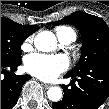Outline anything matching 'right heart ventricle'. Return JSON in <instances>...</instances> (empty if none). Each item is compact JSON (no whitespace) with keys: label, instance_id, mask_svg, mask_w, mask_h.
<instances>
[{"label":"right heart ventricle","instance_id":"e07e8e85","mask_svg":"<svg viewBox=\"0 0 109 109\" xmlns=\"http://www.w3.org/2000/svg\"><path fill=\"white\" fill-rule=\"evenodd\" d=\"M55 33L59 40L66 37H73L74 39H76L75 31L68 26L62 25V26L56 27Z\"/></svg>","mask_w":109,"mask_h":109}]
</instances>
